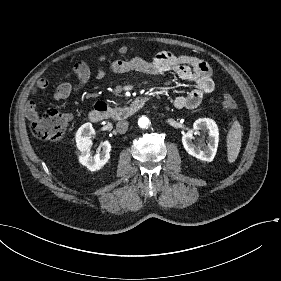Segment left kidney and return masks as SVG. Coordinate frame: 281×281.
Masks as SVG:
<instances>
[{
	"instance_id": "obj_1",
	"label": "left kidney",
	"mask_w": 281,
	"mask_h": 281,
	"mask_svg": "<svg viewBox=\"0 0 281 281\" xmlns=\"http://www.w3.org/2000/svg\"><path fill=\"white\" fill-rule=\"evenodd\" d=\"M207 131L208 139L207 145L196 146L193 142V132L194 131ZM219 141V132L217 124L214 120L209 118H199L193 124V129L189 130L182 136V143L185 150L192 156L207 162L213 161Z\"/></svg>"
}]
</instances>
